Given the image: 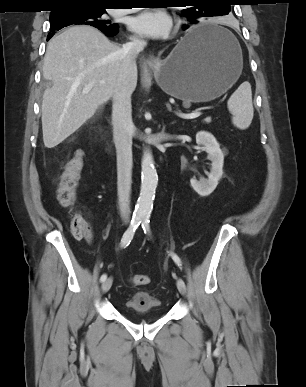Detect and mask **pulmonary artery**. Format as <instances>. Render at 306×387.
Here are the masks:
<instances>
[{
	"instance_id": "1",
	"label": "pulmonary artery",
	"mask_w": 306,
	"mask_h": 387,
	"mask_svg": "<svg viewBox=\"0 0 306 387\" xmlns=\"http://www.w3.org/2000/svg\"><path fill=\"white\" fill-rule=\"evenodd\" d=\"M132 10L130 9H122V10H119L120 13H128V12H131Z\"/></svg>"
}]
</instances>
